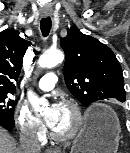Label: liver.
I'll use <instances>...</instances> for the list:
<instances>
[{"mask_svg":"<svg viewBox=\"0 0 130 153\" xmlns=\"http://www.w3.org/2000/svg\"><path fill=\"white\" fill-rule=\"evenodd\" d=\"M0 153H21L17 148L16 141L9 133L0 126Z\"/></svg>","mask_w":130,"mask_h":153,"instance_id":"1","label":"liver"}]
</instances>
